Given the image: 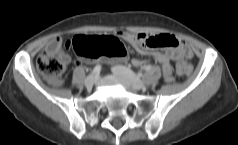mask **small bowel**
Listing matches in <instances>:
<instances>
[{
    "mask_svg": "<svg viewBox=\"0 0 238 145\" xmlns=\"http://www.w3.org/2000/svg\"><path fill=\"white\" fill-rule=\"evenodd\" d=\"M116 35L128 42L139 54L149 56L158 61L162 65L163 75L167 82L174 80L171 62L176 59L190 58L192 55L188 44L173 35L160 34L149 36L145 33L132 34L122 30H118ZM53 47H55V49H52ZM159 48L171 49V51L163 52L155 50ZM46 49L65 61L66 64L70 63L71 59L63 49L62 40L60 38L52 39ZM86 62L91 61L86 60ZM131 62L136 67L142 66L145 63L140 59H132ZM77 64L80 65L81 61H78Z\"/></svg>",
    "mask_w": 238,
    "mask_h": 145,
    "instance_id": "small-bowel-1",
    "label": "small bowel"
}]
</instances>
